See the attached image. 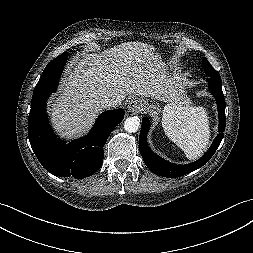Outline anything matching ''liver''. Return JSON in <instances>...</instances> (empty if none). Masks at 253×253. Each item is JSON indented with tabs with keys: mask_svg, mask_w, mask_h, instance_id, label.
<instances>
[{
	"mask_svg": "<svg viewBox=\"0 0 253 253\" xmlns=\"http://www.w3.org/2000/svg\"><path fill=\"white\" fill-rule=\"evenodd\" d=\"M154 52V46L131 41L78 59L67 72L61 95L50 101L54 128L67 137L85 131L102 111L100 101L106 97L120 104L128 94L161 101L168 84ZM183 100L168 104L165 112Z\"/></svg>",
	"mask_w": 253,
	"mask_h": 253,
	"instance_id": "obj_1",
	"label": "liver"
}]
</instances>
